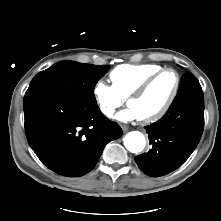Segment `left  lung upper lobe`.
Segmentation results:
<instances>
[{
  "label": "left lung upper lobe",
  "mask_w": 221,
  "mask_h": 221,
  "mask_svg": "<svg viewBox=\"0 0 221 221\" xmlns=\"http://www.w3.org/2000/svg\"><path fill=\"white\" fill-rule=\"evenodd\" d=\"M190 78H193V79H195L193 76H191V75H186L184 78H183V82H182V84H181V88L183 87V84H184V82H185V80L186 79H190ZM180 88V89H181Z\"/></svg>",
  "instance_id": "5c2ea615"
}]
</instances>
